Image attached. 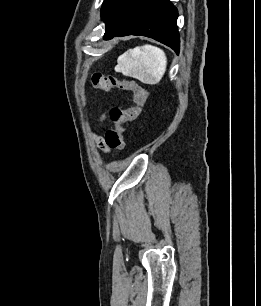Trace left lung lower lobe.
<instances>
[{
	"instance_id": "0a47b994",
	"label": "left lung lower lobe",
	"mask_w": 261,
	"mask_h": 306,
	"mask_svg": "<svg viewBox=\"0 0 261 306\" xmlns=\"http://www.w3.org/2000/svg\"><path fill=\"white\" fill-rule=\"evenodd\" d=\"M178 11L169 0H132L113 30L104 40L114 36L142 35L171 47L179 54Z\"/></svg>"
}]
</instances>
